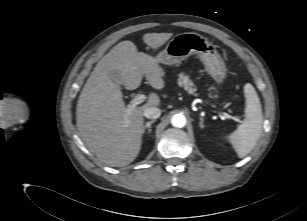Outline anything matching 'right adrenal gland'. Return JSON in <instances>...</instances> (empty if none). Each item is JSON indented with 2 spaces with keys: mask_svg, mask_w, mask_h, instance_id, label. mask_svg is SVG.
I'll list each match as a JSON object with an SVG mask.
<instances>
[{
  "mask_svg": "<svg viewBox=\"0 0 307 221\" xmlns=\"http://www.w3.org/2000/svg\"><path fill=\"white\" fill-rule=\"evenodd\" d=\"M155 122V120H151V121H148L144 127H143V133H145V130L148 129V134L151 133L152 129H151V125Z\"/></svg>",
  "mask_w": 307,
  "mask_h": 221,
  "instance_id": "1",
  "label": "right adrenal gland"
}]
</instances>
